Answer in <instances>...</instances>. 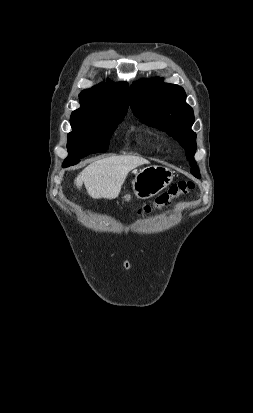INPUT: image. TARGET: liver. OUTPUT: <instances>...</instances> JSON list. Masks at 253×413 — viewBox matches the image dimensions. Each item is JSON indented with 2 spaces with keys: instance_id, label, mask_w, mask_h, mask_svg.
I'll return each mask as SVG.
<instances>
[{
  "instance_id": "obj_1",
  "label": "liver",
  "mask_w": 253,
  "mask_h": 413,
  "mask_svg": "<svg viewBox=\"0 0 253 413\" xmlns=\"http://www.w3.org/2000/svg\"><path fill=\"white\" fill-rule=\"evenodd\" d=\"M144 164H149V161L139 156H112L99 159L84 168L74 183L79 189L84 183L93 199L111 200L119 195L128 173Z\"/></svg>"
}]
</instances>
